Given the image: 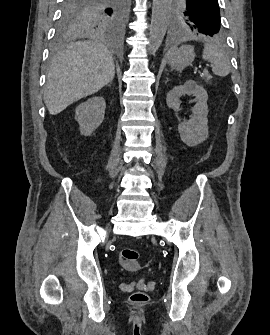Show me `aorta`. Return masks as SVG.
Listing matches in <instances>:
<instances>
[{"label": "aorta", "instance_id": "762f6f07", "mask_svg": "<svg viewBox=\"0 0 270 335\" xmlns=\"http://www.w3.org/2000/svg\"><path fill=\"white\" fill-rule=\"evenodd\" d=\"M171 4L172 0H153L148 48L151 54H154L163 42L171 14Z\"/></svg>", "mask_w": 270, "mask_h": 335}]
</instances>
